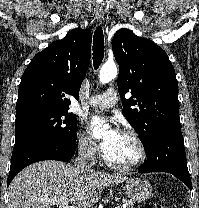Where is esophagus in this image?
Wrapping results in <instances>:
<instances>
[{
    "label": "esophagus",
    "instance_id": "34e87169",
    "mask_svg": "<svg viewBox=\"0 0 199 208\" xmlns=\"http://www.w3.org/2000/svg\"><path fill=\"white\" fill-rule=\"evenodd\" d=\"M94 13H95L96 19L100 23H103L104 22V11H103V9L102 8H95Z\"/></svg>",
    "mask_w": 199,
    "mask_h": 208
}]
</instances>
